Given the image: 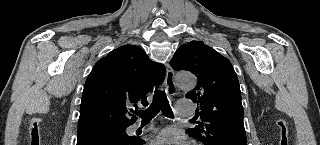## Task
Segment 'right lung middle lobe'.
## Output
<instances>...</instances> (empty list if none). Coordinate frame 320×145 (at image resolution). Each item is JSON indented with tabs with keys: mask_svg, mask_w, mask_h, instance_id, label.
Here are the masks:
<instances>
[{
	"mask_svg": "<svg viewBox=\"0 0 320 145\" xmlns=\"http://www.w3.org/2000/svg\"><path fill=\"white\" fill-rule=\"evenodd\" d=\"M127 127H118V128H104L102 130L104 131H108V132H111L115 135H118V136H123L124 138H128L129 136L125 133V129Z\"/></svg>",
	"mask_w": 320,
	"mask_h": 145,
	"instance_id": "right-lung-middle-lobe-1",
	"label": "right lung middle lobe"
}]
</instances>
